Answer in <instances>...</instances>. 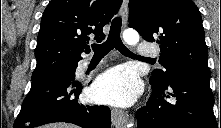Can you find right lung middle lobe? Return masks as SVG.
<instances>
[{"mask_svg": "<svg viewBox=\"0 0 221 128\" xmlns=\"http://www.w3.org/2000/svg\"><path fill=\"white\" fill-rule=\"evenodd\" d=\"M76 67H77V65L68 66V67L62 68V69H60L56 72H60V73H63V74H73L76 70ZM56 72H54V73H56ZM39 78H41V77L32 76V81L36 80V79H39Z\"/></svg>", "mask_w": 221, "mask_h": 128, "instance_id": "right-lung-middle-lobe-1", "label": "right lung middle lobe"}]
</instances>
